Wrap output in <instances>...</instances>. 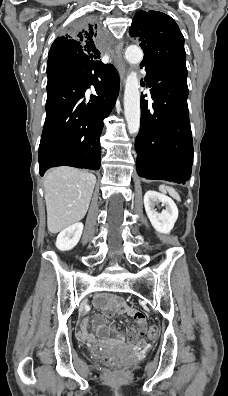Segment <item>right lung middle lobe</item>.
<instances>
[{
    "instance_id": "obj_1",
    "label": "right lung middle lobe",
    "mask_w": 228,
    "mask_h": 396,
    "mask_svg": "<svg viewBox=\"0 0 228 396\" xmlns=\"http://www.w3.org/2000/svg\"><path fill=\"white\" fill-rule=\"evenodd\" d=\"M88 25V20L82 19L76 22L75 28L80 30L81 28H87ZM67 70H52V71H47V76H48V82H47V89L53 86L59 79H61L65 74Z\"/></svg>"
}]
</instances>
